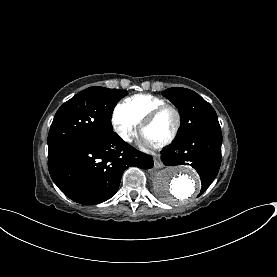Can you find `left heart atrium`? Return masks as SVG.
Here are the masks:
<instances>
[{
	"mask_svg": "<svg viewBox=\"0 0 277 277\" xmlns=\"http://www.w3.org/2000/svg\"><path fill=\"white\" fill-rule=\"evenodd\" d=\"M141 143L145 146H153L155 145L152 141H150L144 134L141 136Z\"/></svg>",
	"mask_w": 277,
	"mask_h": 277,
	"instance_id": "left-heart-atrium-1",
	"label": "left heart atrium"
}]
</instances>
